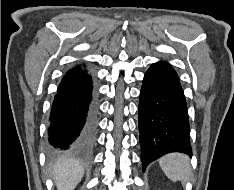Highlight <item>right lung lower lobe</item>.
Masks as SVG:
<instances>
[{
  "instance_id": "1",
  "label": "right lung lower lobe",
  "mask_w": 234,
  "mask_h": 190,
  "mask_svg": "<svg viewBox=\"0 0 234 190\" xmlns=\"http://www.w3.org/2000/svg\"><path fill=\"white\" fill-rule=\"evenodd\" d=\"M96 101L89 72L75 66L62 78L52 104L48 140L57 150L90 145L96 130Z\"/></svg>"
}]
</instances>
